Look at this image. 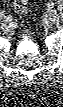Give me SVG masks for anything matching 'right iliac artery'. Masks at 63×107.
I'll return each instance as SVG.
<instances>
[{"mask_svg":"<svg viewBox=\"0 0 63 107\" xmlns=\"http://www.w3.org/2000/svg\"><path fill=\"white\" fill-rule=\"evenodd\" d=\"M2 20H5L6 22H10L12 20V16H4L3 14L0 15Z\"/></svg>","mask_w":63,"mask_h":107,"instance_id":"1","label":"right iliac artery"}]
</instances>
